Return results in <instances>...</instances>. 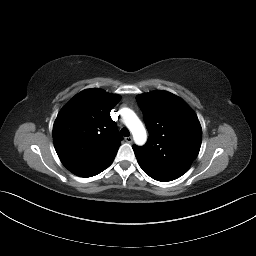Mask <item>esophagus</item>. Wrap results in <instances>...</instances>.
<instances>
[{
	"label": "esophagus",
	"instance_id": "esophagus-1",
	"mask_svg": "<svg viewBox=\"0 0 256 256\" xmlns=\"http://www.w3.org/2000/svg\"><path fill=\"white\" fill-rule=\"evenodd\" d=\"M125 140L127 143H132L133 138L130 136V137H126Z\"/></svg>",
	"mask_w": 256,
	"mask_h": 256
}]
</instances>
